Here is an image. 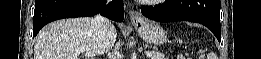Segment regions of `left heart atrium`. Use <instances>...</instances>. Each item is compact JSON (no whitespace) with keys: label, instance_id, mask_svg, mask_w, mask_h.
I'll return each instance as SVG.
<instances>
[{"label":"left heart atrium","instance_id":"1","mask_svg":"<svg viewBox=\"0 0 261 59\" xmlns=\"http://www.w3.org/2000/svg\"><path fill=\"white\" fill-rule=\"evenodd\" d=\"M140 2H143V3H155L156 0H141Z\"/></svg>","mask_w":261,"mask_h":59}]
</instances>
